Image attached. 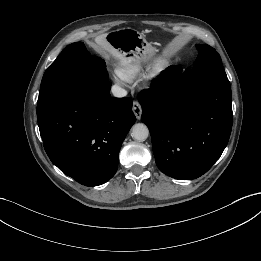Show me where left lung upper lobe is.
Returning a JSON list of instances; mask_svg holds the SVG:
<instances>
[{"instance_id":"left-lung-upper-lobe-1","label":"left lung upper lobe","mask_w":261,"mask_h":261,"mask_svg":"<svg viewBox=\"0 0 261 261\" xmlns=\"http://www.w3.org/2000/svg\"><path fill=\"white\" fill-rule=\"evenodd\" d=\"M199 55L194 62L192 69H187L185 72L187 75L193 73L196 70L204 68H214L224 70L222 61L219 54L212 47L207 44L198 46Z\"/></svg>"}]
</instances>
